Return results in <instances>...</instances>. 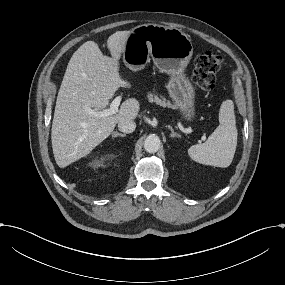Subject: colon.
<instances>
[{
	"mask_svg": "<svg viewBox=\"0 0 285 285\" xmlns=\"http://www.w3.org/2000/svg\"><path fill=\"white\" fill-rule=\"evenodd\" d=\"M223 63L221 56L207 51L195 60L193 82L203 92H211L216 83V73Z\"/></svg>",
	"mask_w": 285,
	"mask_h": 285,
	"instance_id": "colon-1",
	"label": "colon"
}]
</instances>
